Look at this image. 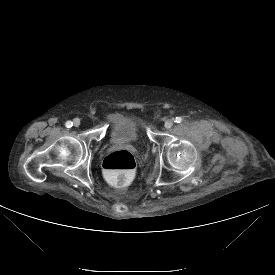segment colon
<instances>
[{"mask_svg":"<svg viewBox=\"0 0 275 275\" xmlns=\"http://www.w3.org/2000/svg\"><path fill=\"white\" fill-rule=\"evenodd\" d=\"M104 174L107 179L117 186L130 184L135 177V158L127 150L110 153L103 161Z\"/></svg>","mask_w":275,"mask_h":275,"instance_id":"colon-1","label":"colon"}]
</instances>
